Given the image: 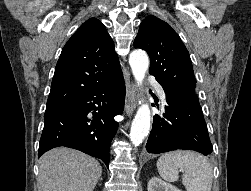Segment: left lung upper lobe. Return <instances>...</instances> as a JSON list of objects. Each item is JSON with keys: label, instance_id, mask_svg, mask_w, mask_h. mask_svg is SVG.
<instances>
[{"label": "left lung upper lobe", "instance_id": "1", "mask_svg": "<svg viewBox=\"0 0 251 191\" xmlns=\"http://www.w3.org/2000/svg\"><path fill=\"white\" fill-rule=\"evenodd\" d=\"M135 48L150 57L149 73L166 95L196 94V79L190 55L178 34L164 21L151 15L140 24Z\"/></svg>", "mask_w": 251, "mask_h": 191}]
</instances>
